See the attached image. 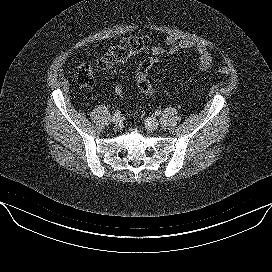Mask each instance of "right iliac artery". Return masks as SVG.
<instances>
[{
	"label": "right iliac artery",
	"mask_w": 272,
	"mask_h": 272,
	"mask_svg": "<svg viewBox=\"0 0 272 272\" xmlns=\"http://www.w3.org/2000/svg\"><path fill=\"white\" fill-rule=\"evenodd\" d=\"M120 111L119 110H116L115 113L113 114L114 116H120Z\"/></svg>",
	"instance_id": "obj_1"
}]
</instances>
